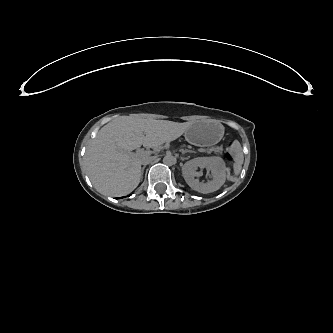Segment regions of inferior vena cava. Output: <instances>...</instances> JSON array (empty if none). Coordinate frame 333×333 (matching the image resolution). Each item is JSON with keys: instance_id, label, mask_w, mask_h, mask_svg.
<instances>
[{"instance_id": "inferior-vena-cava-1", "label": "inferior vena cava", "mask_w": 333, "mask_h": 333, "mask_svg": "<svg viewBox=\"0 0 333 333\" xmlns=\"http://www.w3.org/2000/svg\"><path fill=\"white\" fill-rule=\"evenodd\" d=\"M154 159H155V157L144 158V159H142V164L147 165V164L151 163Z\"/></svg>"}]
</instances>
